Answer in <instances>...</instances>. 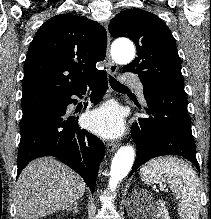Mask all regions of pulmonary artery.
<instances>
[{
    "mask_svg": "<svg viewBox=\"0 0 211 219\" xmlns=\"http://www.w3.org/2000/svg\"><path fill=\"white\" fill-rule=\"evenodd\" d=\"M124 81H125V83L132 84L134 86V88L136 89V91L138 92L140 98L142 100H144L143 84L138 78L133 77V76H129V75H125Z\"/></svg>",
    "mask_w": 211,
    "mask_h": 219,
    "instance_id": "e3ab8cb5",
    "label": "pulmonary artery"
}]
</instances>
